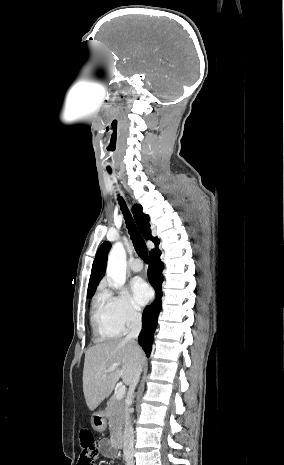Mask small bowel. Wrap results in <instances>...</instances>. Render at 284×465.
Returning <instances> with one entry per match:
<instances>
[{"mask_svg": "<svg viewBox=\"0 0 284 465\" xmlns=\"http://www.w3.org/2000/svg\"><path fill=\"white\" fill-rule=\"evenodd\" d=\"M99 452L102 456L114 459L117 452L109 439H102L98 443Z\"/></svg>", "mask_w": 284, "mask_h": 465, "instance_id": "c3829d8e", "label": "small bowel"}]
</instances>
